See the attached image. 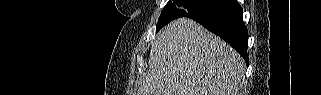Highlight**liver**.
<instances>
[{
    "label": "liver",
    "mask_w": 321,
    "mask_h": 95,
    "mask_svg": "<svg viewBox=\"0 0 321 95\" xmlns=\"http://www.w3.org/2000/svg\"><path fill=\"white\" fill-rule=\"evenodd\" d=\"M241 56L189 18H179L154 40L137 95H237Z\"/></svg>",
    "instance_id": "6515ba94"
}]
</instances>
